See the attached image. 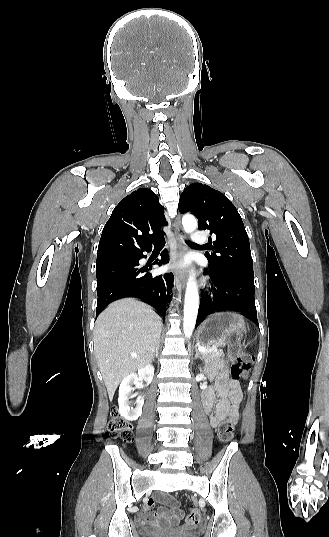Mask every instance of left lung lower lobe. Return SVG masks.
I'll return each instance as SVG.
<instances>
[{"label": "left lung lower lobe", "instance_id": "0a47b994", "mask_svg": "<svg viewBox=\"0 0 329 537\" xmlns=\"http://www.w3.org/2000/svg\"><path fill=\"white\" fill-rule=\"evenodd\" d=\"M211 280L209 292L202 291L196 326L202 317L216 311H235L258 325L254 299V278L204 270Z\"/></svg>", "mask_w": 329, "mask_h": 537}]
</instances>
